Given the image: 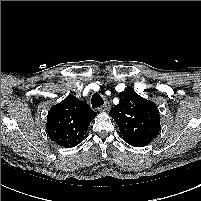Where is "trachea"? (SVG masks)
I'll list each match as a JSON object with an SVG mask.
<instances>
[{
    "label": "trachea",
    "mask_w": 201,
    "mask_h": 201,
    "mask_svg": "<svg viewBox=\"0 0 201 201\" xmlns=\"http://www.w3.org/2000/svg\"><path fill=\"white\" fill-rule=\"evenodd\" d=\"M91 103L93 108H98L104 104V100L100 94L94 93L91 98Z\"/></svg>",
    "instance_id": "obj_1"
}]
</instances>
